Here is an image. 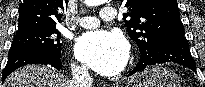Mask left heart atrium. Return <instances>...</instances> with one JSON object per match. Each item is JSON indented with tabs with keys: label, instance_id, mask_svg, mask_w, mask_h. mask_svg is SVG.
<instances>
[{
	"label": "left heart atrium",
	"instance_id": "1",
	"mask_svg": "<svg viewBox=\"0 0 205 87\" xmlns=\"http://www.w3.org/2000/svg\"><path fill=\"white\" fill-rule=\"evenodd\" d=\"M75 54L94 71L113 76L124 68L129 48L126 39L120 33L97 30L87 32L77 39Z\"/></svg>",
	"mask_w": 205,
	"mask_h": 87
}]
</instances>
